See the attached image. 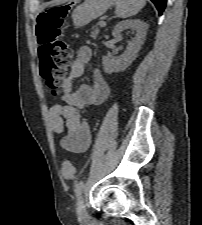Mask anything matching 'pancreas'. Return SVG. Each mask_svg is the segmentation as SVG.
I'll return each instance as SVG.
<instances>
[{"mask_svg": "<svg viewBox=\"0 0 202 225\" xmlns=\"http://www.w3.org/2000/svg\"><path fill=\"white\" fill-rule=\"evenodd\" d=\"M99 28L98 27H94L93 29H92V31H91V37L92 38H96L97 37V35L99 34Z\"/></svg>", "mask_w": 202, "mask_h": 225, "instance_id": "cf45deb5", "label": "pancreas"}]
</instances>
